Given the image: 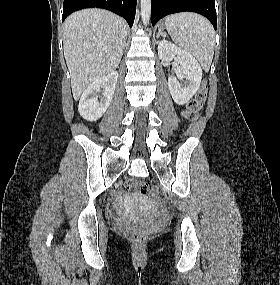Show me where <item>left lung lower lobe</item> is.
<instances>
[{
	"label": "left lung lower lobe",
	"mask_w": 280,
	"mask_h": 285,
	"mask_svg": "<svg viewBox=\"0 0 280 285\" xmlns=\"http://www.w3.org/2000/svg\"><path fill=\"white\" fill-rule=\"evenodd\" d=\"M184 11L205 16L216 30L215 0H152V25L166 15Z\"/></svg>",
	"instance_id": "0a47b994"
}]
</instances>
